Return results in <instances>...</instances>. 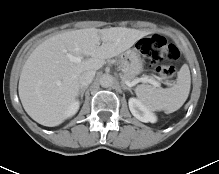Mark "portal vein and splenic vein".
<instances>
[{"mask_svg": "<svg viewBox=\"0 0 219 174\" xmlns=\"http://www.w3.org/2000/svg\"><path fill=\"white\" fill-rule=\"evenodd\" d=\"M69 59L74 61V62H81L82 59H83V56H78V57H75L73 55H68ZM138 82H148L154 86H160V83L156 82L155 80L153 79H149L148 77H142V78H139L137 80ZM127 84H130V82H126Z\"/></svg>", "mask_w": 219, "mask_h": 174, "instance_id": "portal-vein-and-splenic-vein-1", "label": "portal vein and splenic vein"}]
</instances>
